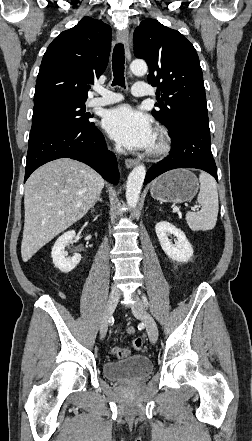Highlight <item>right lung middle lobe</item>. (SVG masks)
<instances>
[{"instance_id": "dd1d6c3e", "label": "right lung middle lobe", "mask_w": 252, "mask_h": 441, "mask_svg": "<svg viewBox=\"0 0 252 441\" xmlns=\"http://www.w3.org/2000/svg\"><path fill=\"white\" fill-rule=\"evenodd\" d=\"M93 115L85 113V101L53 99L34 104L32 126L59 124L83 126Z\"/></svg>"}]
</instances>
